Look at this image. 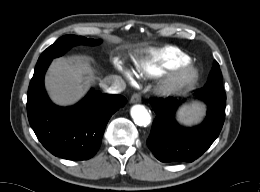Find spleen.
<instances>
[{"mask_svg":"<svg viewBox=\"0 0 260 192\" xmlns=\"http://www.w3.org/2000/svg\"><path fill=\"white\" fill-rule=\"evenodd\" d=\"M204 114L203 106L198 103H192L190 105L182 106L178 111V120L186 125L197 122Z\"/></svg>","mask_w":260,"mask_h":192,"instance_id":"obj_1","label":"spleen"}]
</instances>
